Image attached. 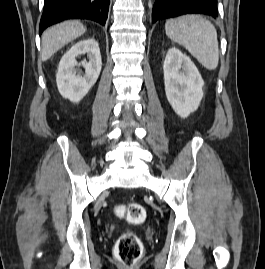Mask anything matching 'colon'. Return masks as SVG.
<instances>
[{
	"instance_id": "obj_1",
	"label": "colon",
	"mask_w": 265,
	"mask_h": 269,
	"mask_svg": "<svg viewBox=\"0 0 265 269\" xmlns=\"http://www.w3.org/2000/svg\"><path fill=\"white\" fill-rule=\"evenodd\" d=\"M115 213L132 224L142 222L146 215L145 208L136 202L117 205ZM115 255L125 266H134L142 255V244L139 238L132 232L123 233L116 242Z\"/></svg>"
}]
</instances>
